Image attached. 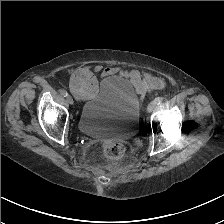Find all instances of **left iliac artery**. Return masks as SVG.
Instances as JSON below:
<instances>
[{
    "instance_id": "left-iliac-artery-1",
    "label": "left iliac artery",
    "mask_w": 224,
    "mask_h": 224,
    "mask_svg": "<svg viewBox=\"0 0 224 224\" xmlns=\"http://www.w3.org/2000/svg\"><path fill=\"white\" fill-rule=\"evenodd\" d=\"M162 101H163V97H157V98H155V100H154V102H155L157 105L161 104Z\"/></svg>"
}]
</instances>
